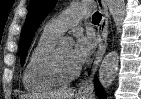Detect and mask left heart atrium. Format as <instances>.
Masks as SVG:
<instances>
[{"label": "left heart atrium", "mask_w": 141, "mask_h": 99, "mask_svg": "<svg viewBox=\"0 0 141 99\" xmlns=\"http://www.w3.org/2000/svg\"><path fill=\"white\" fill-rule=\"evenodd\" d=\"M94 48V40L90 36L78 35L74 46L71 48L72 62L80 68L89 58Z\"/></svg>", "instance_id": "obj_1"}]
</instances>
